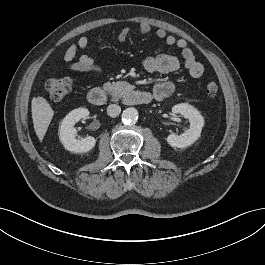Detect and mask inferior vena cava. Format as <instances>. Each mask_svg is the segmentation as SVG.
<instances>
[{"label":"inferior vena cava","instance_id":"inferior-vena-cava-1","mask_svg":"<svg viewBox=\"0 0 265 265\" xmlns=\"http://www.w3.org/2000/svg\"><path fill=\"white\" fill-rule=\"evenodd\" d=\"M120 112H121V108L117 104H111L107 107V114L110 117H116L120 114Z\"/></svg>","mask_w":265,"mask_h":265}]
</instances>
